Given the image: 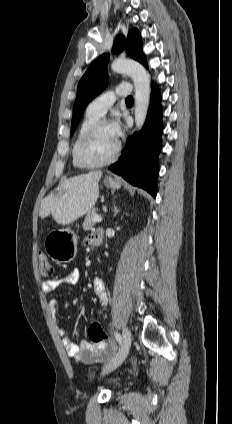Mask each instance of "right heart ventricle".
I'll list each match as a JSON object with an SVG mask.
<instances>
[{
  "mask_svg": "<svg viewBox=\"0 0 232 424\" xmlns=\"http://www.w3.org/2000/svg\"><path fill=\"white\" fill-rule=\"evenodd\" d=\"M99 118L100 116L95 115L87 110L77 128L73 145H72V163H73V166L76 168H84L79 164L76 158V148H77L78 142L80 138L82 137V135L86 132V130Z\"/></svg>",
  "mask_w": 232,
  "mask_h": 424,
  "instance_id": "obj_1",
  "label": "right heart ventricle"
}]
</instances>
